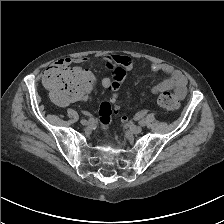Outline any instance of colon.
<instances>
[{"mask_svg": "<svg viewBox=\"0 0 224 224\" xmlns=\"http://www.w3.org/2000/svg\"><path fill=\"white\" fill-rule=\"evenodd\" d=\"M124 77L125 70L119 67L113 71L112 77L107 81L111 95L100 103L98 109L99 123L104 132L109 128L113 111L119 107L117 91ZM44 82L57 102L72 103L90 93L95 86L96 79L89 71L56 64L46 73ZM157 101L166 110H175L179 106L177 95L170 91L162 92Z\"/></svg>", "mask_w": 224, "mask_h": 224, "instance_id": "colon-1", "label": "colon"}]
</instances>
